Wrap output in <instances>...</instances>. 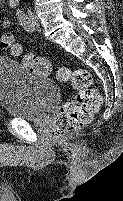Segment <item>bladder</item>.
I'll return each instance as SVG.
<instances>
[{
	"instance_id": "obj_1",
	"label": "bladder",
	"mask_w": 123,
	"mask_h": 201,
	"mask_svg": "<svg viewBox=\"0 0 123 201\" xmlns=\"http://www.w3.org/2000/svg\"><path fill=\"white\" fill-rule=\"evenodd\" d=\"M60 100L58 86L32 74L11 57L0 56V106L12 117L42 121Z\"/></svg>"
}]
</instances>
